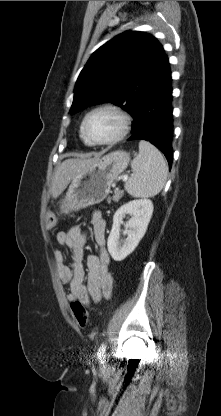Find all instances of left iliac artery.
Returning a JSON list of instances; mask_svg holds the SVG:
<instances>
[{"label": "left iliac artery", "mask_w": 221, "mask_h": 416, "mask_svg": "<svg viewBox=\"0 0 221 416\" xmlns=\"http://www.w3.org/2000/svg\"><path fill=\"white\" fill-rule=\"evenodd\" d=\"M105 351H106V344H104V343H103V344L100 346V348H99V350H98V352H97V356H98V358L101 360V362H102V358H103V356H104Z\"/></svg>", "instance_id": "left-iliac-artery-1"}]
</instances>
